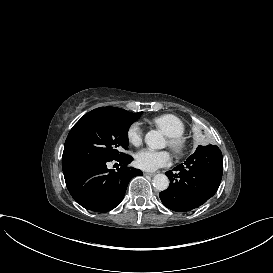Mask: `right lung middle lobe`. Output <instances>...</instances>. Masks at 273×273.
I'll use <instances>...</instances> for the list:
<instances>
[{
	"label": "right lung middle lobe",
	"instance_id": "obj_1",
	"mask_svg": "<svg viewBox=\"0 0 273 273\" xmlns=\"http://www.w3.org/2000/svg\"><path fill=\"white\" fill-rule=\"evenodd\" d=\"M133 122L115 114L92 110L70 130L65 141L62 167L85 160H114L128 148V129Z\"/></svg>",
	"mask_w": 273,
	"mask_h": 273
}]
</instances>
